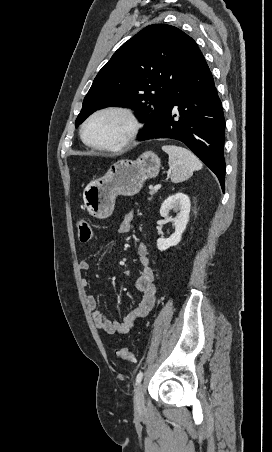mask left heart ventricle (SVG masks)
<instances>
[{"instance_id":"obj_1","label":"left heart ventricle","mask_w":272,"mask_h":452,"mask_svg":"<svg viewBox=\"0 0 272 452\" xmlns=\"http://www.w3.org/2000/svg\"><path fill=\"white\" fill-rule=\"evenodd\" d=\"M129 128L125 117L116 113L102 114L94 118L86 129V138L97 144H117L127 134Z\"/></svg>"}]
</instances>
